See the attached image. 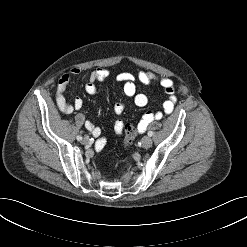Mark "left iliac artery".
I'll use <instances>...</instances> for the list:
<instances>
[{
  "mask_svg": "<svg viewBox=\"0 0 247 247\" xmlns=\"http://www.w3.org/2000/svg\"><path fill=\"white\" fill-rule=\"evenodd\" d=\"M152 135H153V132H152V131H149V132H148V136L151 137Z\"/></svg>",
  "mask_w": 247,
  "mask_h": 247,
  "instance_id": "44dca946",
  "label": "left iliac artery"
}]
</instances>
